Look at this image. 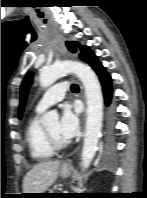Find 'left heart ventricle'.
<instances>
[{
    "label": "left heart ventricle",
    "mask_w": 147,
    "mask_h": 198,
    "mask_svg": "<svg viewBox=\"0 0 147 198\" xmlns=\"http://www.w3.org/2000/svg\"><path fill=\"white\" fill-rule=\"evenodd\" d=\"M53 139L58 143H64L58 135V122H54L46 127Z\"/></svg>",
    "instance_id": "1"
}]
</instances>
